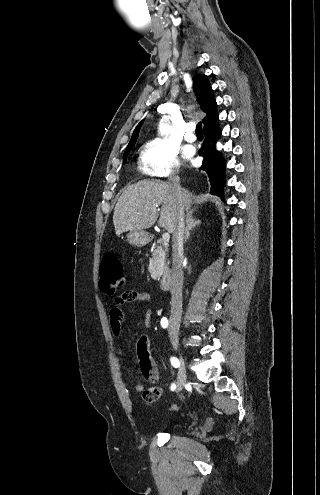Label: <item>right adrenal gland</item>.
Returning <instances> with one entry per match:
<instances>
[{
    "label": "right adrenal gland",
    "mask_w": 320,
    "mask_h": 495,
    "mask_svg": "<svg viewBox=\"0 0 320 495\" xmlns=\"http://www.w3.org/2000/svg\"><path fill=\"white\" fill-rule=\"evenodd\" d=\"M200 224H201V220H196L195 218H193L192 215L186 216V229H185V237H184L185 243L187 242L190 236V230Z\"/></svg>",
    "instance_id": "1"
}]
</instances>
